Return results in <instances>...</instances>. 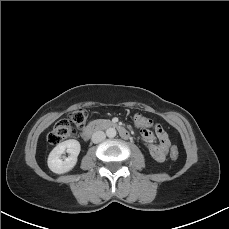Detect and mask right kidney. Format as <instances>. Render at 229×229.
Segmentation results:
<instances>
[{"mask_svg":"<svg viewBox=\"0 0 229 229\" xmlns=\"http://www.w3.org/2000/svg\"><path fill=\"white\" fill-rule=\"evenodd\" d=\"M80 150V143L75 139H69L59 143L48 156L47 163L49 169L57 174H63L72 170L77 163ZM65 152L70 155L62 159V154Z\"/></svg>","mask_w":229,"mask_h":229,"instance_id":"1","label":"right kidney"}]
</instances>
